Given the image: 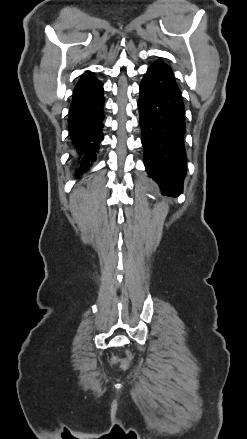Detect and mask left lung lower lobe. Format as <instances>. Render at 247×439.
I'll return each instance as SVG.
<instances>
[{"instance_id": "obj_1", "label": "left lung lower lobe", "mask_w": 247, "mask_h": 439, "mask_svg": "<svg viewBox=\"0 0 247 439\" xmlns=\"http://www.w3.org/2000/svg\"><path fill=\"white\" fill-rule=\"evenodd\" d=\"M139 90L146 171L164 192L180 194L186 164L184 104L171 68L156 61L148 68Z\"/></svg>"}]
</instances>
